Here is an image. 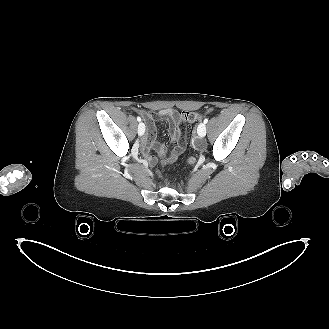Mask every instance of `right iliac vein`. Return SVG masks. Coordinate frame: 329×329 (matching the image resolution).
<instances>
[{
  "mask_svg": "<svg viewBox=\"0 0 329 329\" xmlns=\"http://www.w3.org/2000/svg\"><path fill=\"white\" fill-rule=\"evenodd\" d=\"M138 135L142 136L145 132V124L144 123H139L138 125Z\"/></svg>",
  "mask_w": 329,
  "mask_h": 329,
  "instance_id": "1",
  "label": "right iliac vein"
}]
</instances>
